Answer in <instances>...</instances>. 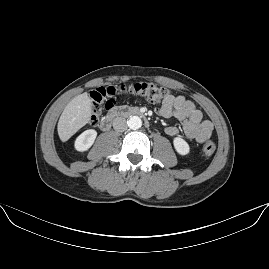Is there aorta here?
<instances>
[{
	"mask_svg": "<svg viewBox=\"0 0 269 269\" xmlns=\"http://www.w3.org/2000/svg\"><path fill=\"white\" fill-rule=\"evenodd\" d=\"M129 128L136 130L139 129L142 125V120L138 116H131L127 121Z\"/></svg>",
	"mask_w": 269,
	"mask_h": 269,
	"instance_id": "1",
	"label": "aorta"
}]
</instances>
